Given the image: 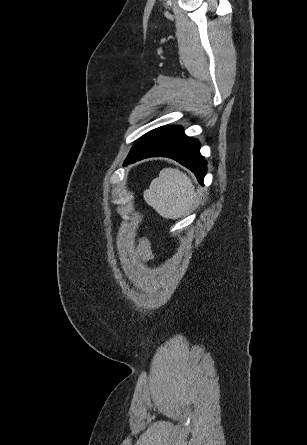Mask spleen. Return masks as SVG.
<instances>
[{
  "label": "spleen",
  "instance_id": "3e777b00",
  "mask_svg": "<svg viewBox=\"0 0 307 445\" xmlns=\"http://www.w3.org/2000/svg\"><path fill=\"white\" fill-rule=\"evenodd\" d=\"M144 200L163 218H179L194 210L197 192L194 184L179 168H163L143 192Z\"/></svg>",
  "mask_w": 307,
  "mask_h": 445
}]
</instances>
